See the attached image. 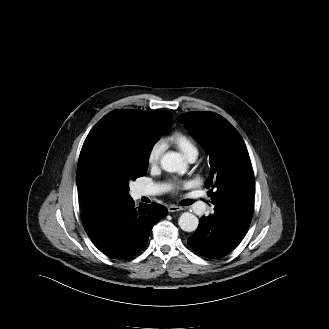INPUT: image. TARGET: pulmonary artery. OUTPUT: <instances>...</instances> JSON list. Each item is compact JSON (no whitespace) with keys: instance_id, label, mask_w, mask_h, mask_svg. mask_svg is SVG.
Instances as JSON below:
<instances>
[{"instance_id":"e3ab8cb5","label":"pulmonary artery","mask_w":329,"mask_h":329,"mask_svg":"<svg viewBox=\"0 0 329 329\" xmlns=\"http://www.w3.org/2000/svg\"><path fill=\"white\" fill-rule=\"evenodd\" d=\"M196 156H192L189 158L191 162L195 160ZM161 192V188L156 185H140L137 188V194L138 196H153L157 195ZM196 208L202 207L204 208V205L199 203L195 205Z\"/></svg>"}]
</instances>
